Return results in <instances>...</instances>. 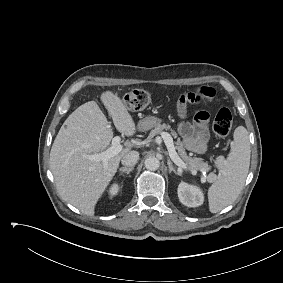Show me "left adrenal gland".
I'll use <instances>...</instances> for the list:
<instances>
[{
	"label": "left adrenal gland",
	"instance_id": "left-adrenal-gland-1",
	"mask_svg": "<svg viewBox=\"0 0 283 283\" xmlns=\"http://www.w3.org/2000/svg\"><path fill=\"white\" fill-rule=\"evenodd\" d=\"M167 165H168V168H169V173L174 172V173H175L176 175H178V176H181V175H182L181 172L175 170V168H174L173 165H172V162H171L169 159H168V161H167Z\"/></svg>",
	"mask_w": 283,
	"mask_h": 283
}]
</instances>
